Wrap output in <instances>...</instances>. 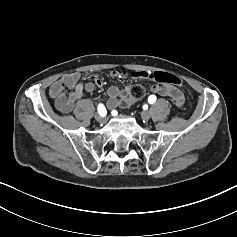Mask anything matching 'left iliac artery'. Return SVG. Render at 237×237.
<instances>
[{
  "label": "left iliac artery",
  "instance_id": "obj_1",
  "mask_svg": "<svg viewBox=\"0 0 237 237\" xmlns=\"http://www.w3.org/2000/svg\"><path fill=\"white\" fill-rule=\"evenodd\" d=\"M155 101H156V96H155V95H150V96L148 97V102H149L150 104H153Z\"/></svg>",
  "mask_w": 237,
  "mask_h": 237
}]
</instances>
